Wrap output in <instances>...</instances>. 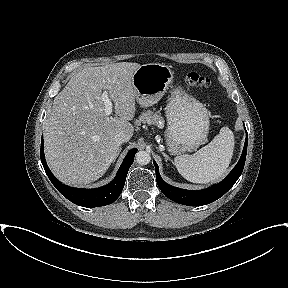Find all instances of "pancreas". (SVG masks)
<instances>
[{
    "label": "pancreas",
    "instance_id": "1",
    "mask_svg": "<svg viewBox=\"0 0 288 288\" xmlns=\"http://www.w3.org/2000/svg\"><path fill=\"white\" fill-rule=\"evenodd\" d=\"M141 123H147L149 125L153 124L159 127H163L164 119L157 113H153L152 111L148 110L146 112H143L139 116V119L136 121L137 125H140Z\"/></svg>",
    "mask_w": 288,
    "mask_h": 288
}]
</instances>
